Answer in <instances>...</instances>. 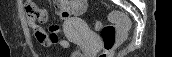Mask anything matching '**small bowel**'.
Wrapping results in <instances>:
<instances>
[{"mask_svg": "<svg viewBox=\"0 0 172 57\" xmlns=\"http://www.w3.org/2000/svg\"><path fill=\"white\" fill-rule=\"evenodd\" d=\"M31 4L35 6L37 9L41 11L40 14L32 15L26 12V21L35 35L38 43L45 47H51L52 45H58L63 49L68 48L71 45L69 40L64 39L60 35V26L57 24H51L47 29L43 28L40 24L45 22L47 19V11L45 9H41L35 5L33 1H25L24 6L25 10L28 5ZM55 7L57 9L58 17L66 22L73 15L81 14L87 5V1L85 0H72V1H64L58 0L54 2Z\"/></svg>", "mask_w": 172, "mask_h": 57, "instance_id": "1", "label": "small bowel"}]
</instances>
